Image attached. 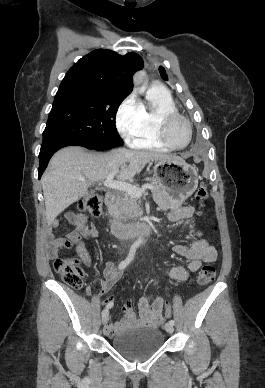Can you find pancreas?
<instances>
[{"instance_id":"obj_1","label":"pancreas","mask_w":265,"mask_h":388,"mask_svg":"<svg viewBox=\"0 0 265 388\" xmlns=\"http://www.w3.org/2000/svg\"><path fill=\"white\" fill-rule=\"evenodd\" d=\"M150 184L151 186H154V190H152L154 202L158 204L161 210H168L173 204L172 196H169V194L165 192L163 186H159L156 180H152ZM114 210V218L123 220V222H126V218H129V220H132V218H141L143 214L138 204V200L129 196L127 192H122V198H118Z\"/></svg>"}]
</instances>
